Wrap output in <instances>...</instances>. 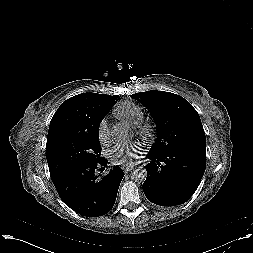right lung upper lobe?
Returning a JSON list of instances; mask_svg holds the SVG:
<instances>
[{
	"label": "right lung upper lobe",
	"instance_id": "obj_1",
	"mask_svg": "<svg viewBox=\"0 0 253 253\" xmlns=\"http://www.w3.org/2000/svg\"><path fill=\"white\" fill-rule=\"evenodd\" d=\"M119 96L82 93L64 101L49 126L47 144L63 131H87L99 125Z\"/></svg>",
	"mask_w": 253,
	"mask_h": 253
}]
</instances>
